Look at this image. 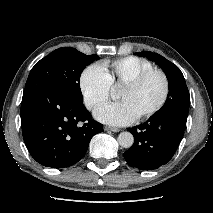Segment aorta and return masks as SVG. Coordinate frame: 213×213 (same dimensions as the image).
I'll return each instance as SVG.
<instances>
[{
    "label": "aorta",
    "mask_w": 213,
    "mask_h": 213,
    "mask_svg": "<svg viewBox=\"0 0 213 213\" xmlns=\"http://www.w3.org/2000/svg\"><path fill=\"white\" fill-rule=\"evenodd\" d=\"M118 143L121 147L123 148H129L133 145L134 143V137L133 135L128 132V131H125V132H121L118 136Z\"/></svg>",
    "instance_id": "aorta-1"
}]
</instances>
